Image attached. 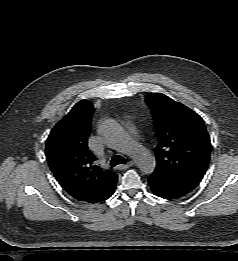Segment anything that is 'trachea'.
Returning <instances> with one entry per match:
<instances>
[{
    "mask_svg": "<svg viewBox=\"0 0 238 261\" xmlns=\"http://www.w3.org/2000/svg\"><path fill=\"white\" fill-rule=\"evenodd\" d=\"M119 164H126V160L124 157L120 156V155H115L112 157L111 161H110V165L112 167H115Z\"/></svg>",
    "mask_w": 238,
    "mask_h": 261,
    "instance_id": "1",
    "label": "trachea"
}]
</instances>
